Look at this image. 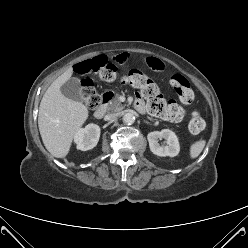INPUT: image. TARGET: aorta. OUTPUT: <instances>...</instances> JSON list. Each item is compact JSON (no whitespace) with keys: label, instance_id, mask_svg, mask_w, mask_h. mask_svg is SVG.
Masks as SVG:
<instances>
[{"label":"aorta","instance_id":"obj_1","mask_svg":"<svg viewBox=\"0 0 248 248\" xmlns=\"http://www.w3.org/2000/svg\"><path fill=\"white\" fill-rule=\"evenodd\" d=\"M123 122L125 123V124H128V125H131V124H133L134 123V121H135V116H134V114L133 113H131V112H126L124 115H123Z\"/></svg>","mask_w":248,"mask_h":248}]
</instances>
